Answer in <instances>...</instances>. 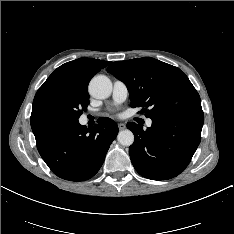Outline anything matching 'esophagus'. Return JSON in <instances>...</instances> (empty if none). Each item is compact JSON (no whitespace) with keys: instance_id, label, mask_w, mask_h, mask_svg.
I'll return each instance as SVG.
<instances>
[{"instance_id":"1","label":"esophagus","mask_w":234,"mask_h":234,"mask_svg":"<svg viewBox=\"0 0 234 234\" xmlns=\"http://www.w3.org/2000/svg\"><path fill=\"white\" fill-rule=\"evenodd\" d=\"M118 128L119 130H124L126 128V125L124 123H119Z\"/></svg>"}]
</instances>
